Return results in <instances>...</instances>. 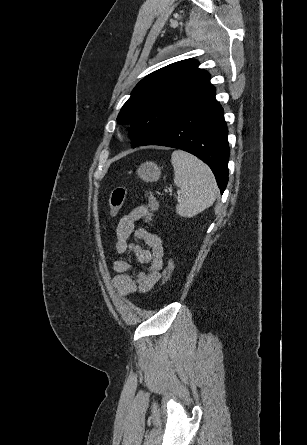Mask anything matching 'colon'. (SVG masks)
Instances as JSON below:
<instances>
[{
    "label": "colon",
    "mask_w": 307,
    "mask_h": 445,
    "mask_svg": "<svg viewBox=\"0 0 307 445\" xmlns=\"http://www.w3.org/2000/svg\"><path fill=\"white\" fill-rule=\"evenodd\" d=\"M129 191L123 187H117L112 190L110 201H109V215L110 217H115L125 202L126 197L128 196ZM145 196L148 200L147 205H141L145 208L148 213L144 217L145 222H149L153 216V214L158 209L159 203L158 199L153 192L147 191L145 192ZM175 263L174 259L170 257L168 259L167 265L163 270L162 274V285H165L171 278Z\"/></svg>",
    "instance_id": "5ec220e1"
}]
</instances>
